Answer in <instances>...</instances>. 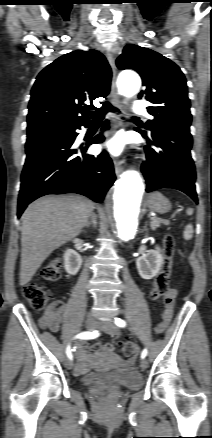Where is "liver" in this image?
I'll return each instance as SVG.
<instances>
[{"instance_id":"6515ba94","label":"liver","mask_w":212,"mask_h":438,"mask_svg":"<svg viewBox=\"0 0 212 438\" xmlns=\"http://www.w3.org/2000/svg\"><path fill=\"white\" fill-rule=\"evenodd\" d=\"M94 203L83 196L42 197L22 215L20 285L31 281L46 258L79 235Z\"/></svg>"}]
</instances>
